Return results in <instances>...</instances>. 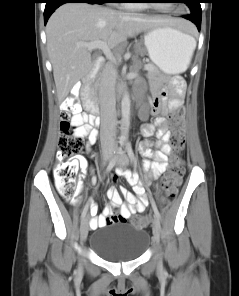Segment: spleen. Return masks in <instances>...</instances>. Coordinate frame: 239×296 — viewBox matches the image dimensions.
Here are the masks:
<instances>
[{
    "instance_id": "1",
    "label": "spleen",
    "mask_w": 239,
    "mask_h": 296,
    "mask_svg": "<svg viewBox=\"0 0 239 296\" xmlns=\"http://www.w3.org/2000/svg\"><path fill=\"white\" fill-rule=\"evenodd\" d=\"M195 46H196V42H195L194 38L192 37V39H191V53H190V56H189L188 64H189V62H190V57H191V54H192V52H193ZM188 64H187V65H188Z\"/></svg>"
}]
</instances>
